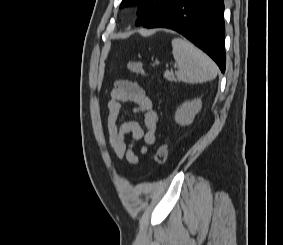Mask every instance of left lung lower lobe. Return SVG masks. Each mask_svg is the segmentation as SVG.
<instances>
[{"label": "left lung lower lobe", "mask_w": 283, "mask_h": 245, "mask_svg": "<svg viewBox=\"0 0 283 245\" xmlns=\"http://www.w3.org/2000/svg\"><path fill=\"white\" fill-rule=\"evenodd\" d=\"M223 0H173L146 28H169L206 52L225 72Z\"/></svg>", "instance_id": "1"}]
</instances>
